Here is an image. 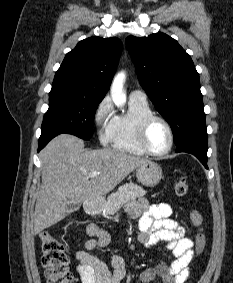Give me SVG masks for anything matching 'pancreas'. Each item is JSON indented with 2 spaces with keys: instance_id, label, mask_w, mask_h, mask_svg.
Instances as JSON below:
<instances>
[{
  "instance_id": "cf45deb5",
  "label": "pancreas",
  "mask_w": 233,
  "mask_h": 283,
  "mask_svg": "<svg viewBox=\"0 0 233 283\" xmlns=\"http://www.w3.org/2000/svg\"><path fill=\"white\" fill-rule=\"evenodd\" d=\"M145 194L146 191L137 184H124L120 186L115 193L108 196L104 212L106 215H114L124 203L130 200H135L136 198L142 197Z\"/></svg>"
}]
</instances>
